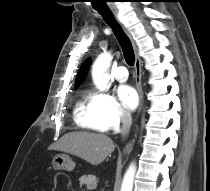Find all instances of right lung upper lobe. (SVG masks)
<instances>
[{
	"label": "right lung upper lobe",
	"mask_w": 210,
	"mask_h": 191,
	"mask_svg": "<svg viewBox=\"0 0 210 191\" xmlns=\"http://www.w3.org/2000/svg\"><path fill=\"white\" fill-rule=\"evenodd\" d=\"M90 64H91L90 59L85 60L84 63L82 64V66L79 69V72L77 74L76 86H78L81 83V81L84 79V77L89 69Z\"/></svg>",
	"instance_id": "obj_1"
}]
</instances>
